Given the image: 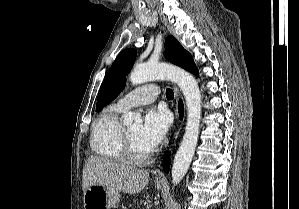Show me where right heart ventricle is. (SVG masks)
Masks as SVG:
<instances>
[{"instance_id": "1", "label": "right heart ventricle", "mask_w": 299, "mask_h": 209, "mask_svg": "<svg viewBox=\"0 0 299 209\" xmlns=\"http://www.w3.org/2000/svg\"><path fill=\"white\" fill-rule=\"evenodd\" d=\"M124 110L110 105L94 122L91 131V148L99 156L112 161H125L123 155V125L120 114Z\"/></svg>"}]
</instances>
